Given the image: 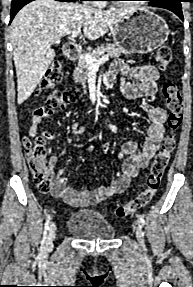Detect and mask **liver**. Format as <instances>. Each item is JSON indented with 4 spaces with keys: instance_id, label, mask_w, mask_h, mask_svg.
Returning <instances> with one entry per match:
<instances>
[{
    "instance_id": "1",
    "label": "liver",
    "mask_w": 193,
    "mask_h": 287,
    "mask_svg": "<svg viewBox=\"0 0 193 287\" xmlns=\"http://www.w3.org/2000/svg\"><path fill=\"white\" fill-rule=\"evenodd\" d=\"M131 13L55 0H35L23 7L10 27L18 104L27 100L41 82L55 57L51 47L54 42L81 27L87 39H99Z\"/></svg>"
}]
</instances>
